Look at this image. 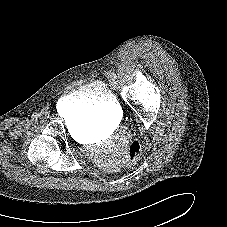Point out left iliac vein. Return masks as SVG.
<instances>
[{"label": "left iliac vein", "instance_id": "obj_1", "mask_svg": "<svg viewBox=\"0 0 227 227\" xmlns=\"http://www.w3.org/2000/svg\"><path fill=\"white\" fill-rule=\"evenodd\" d=\"M111 85L116 87L117 86V82L113 79V80H111Z\"/></svg>", "mask_w": 227, "mask_h": 227}]
</instances>
